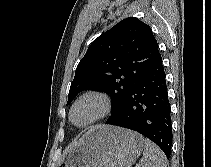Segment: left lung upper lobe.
I'll list each match as a JSON object with an SVG mask.
<instances>
[{
  "instance_id": "1",
  "label": "left lung upper lobe",
  "mask_w": 211,
  "mask_h": 167,
  "mask_svg": "<svg viewBox=\"0 0 211 167\" xmlns=\"http://www.w3.org/2000/svg\"><path fill=\"white\" fill-rule=\"evenodd\" d=\"M159 54L151 28L129 17L96 38L79 62L67 104L82 90L107 92L115 117L128 93L151 68Z\"/></svg>"
}]
</instances>
